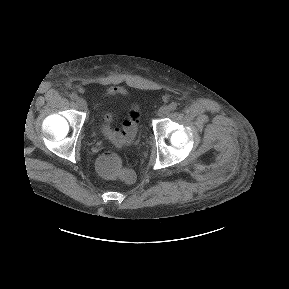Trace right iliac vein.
<instances>
[{
    "instance_id": "63e3f726",
    "label": "right iliac vein",
    "mask_w": 289,
    "mask_h": 289,
    "mask_svg": "<svg viewBox=\"0 0 289 289\" xmlns=\"http://www.w3.org/2000/svg\"><path fill=\"white\" fill-rule=\"evenodd\" d=\"M76 104L80 109H86L87 108V102L85 101V99L78 97L76 99Z\"/></svg>"
}]
</instances>
